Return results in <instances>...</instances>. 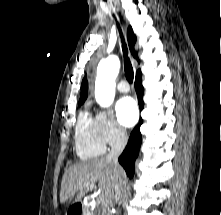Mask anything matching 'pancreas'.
Here are the masks:
<instances>
[{
  "label": "pancreas",
  "mask_w": 221,
  "mask_h": 215,
  "mask_svg": "<svg viewBox=\"0 0 221 215\" xmlns=\"http://www.w3.org/2000/svg\"><path fill=\"white\" fill-rule=\"evenodd\" d=\"M96 213H97L96 210H92V211H90V212L88 213V215H96ZM98 215H99V213H98Z\"/></svg>",
  "instance_id": "pancreas-1"
}]
</instances>
